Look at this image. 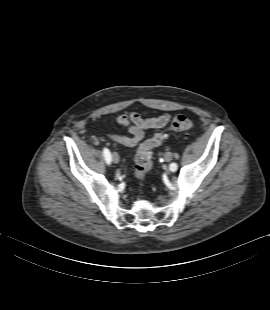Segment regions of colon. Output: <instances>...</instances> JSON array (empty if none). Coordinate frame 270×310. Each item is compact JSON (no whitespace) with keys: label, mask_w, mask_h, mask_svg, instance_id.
Returning a JSON list of instances; mask_svg holds the SVG:
<instances>
[{"label":"colon","mask_w":270,"mask_h":310,"mask_svg":"<svg viewBox=\"0 0 270 310\" xmlns=\"http://www.w3.org/2000/svg\"><path fill=\"white\" fill-rule=\"evenodd\" d=\"M193 122L185 115H176L171 121L168 130L174 132H188L192 129ZM167 132H158L139 144L135 155V178L143 182L146 174L153 166L152 149L163 143Z\"/></svg>","instance_id":"obj_1"}]
</instances>
